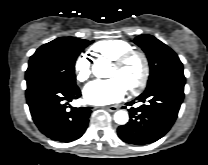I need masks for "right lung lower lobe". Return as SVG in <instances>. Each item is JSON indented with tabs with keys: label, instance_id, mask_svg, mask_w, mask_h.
<instances>
[{
	"label": "right lung lower lobe",
	"instance_id": "obj_1",
	"mask_svg": "<svg viewBox=\"0 0 208 165\" xmlns=\"http://www.w3.org/2000/svg\"><path fill=\"white\" fill-rule=\"evenodd\" d=\"M81 96L78 86L41 83L26 90V100L32 119L39 130L52 140L71 142L85 132L91 110L67 105Z\"/></svg>",
	"mask_w": 208,
	"mask_h": 165
}]
</instances>
